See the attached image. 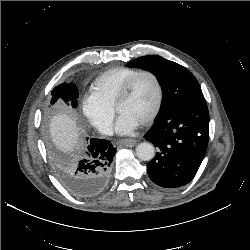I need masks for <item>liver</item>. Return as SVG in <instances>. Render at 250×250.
Masks as SVG:
<instances>
[{
    "label": "liver",
    "mask_w": 250,
    "mask_h": 250,
    "mask_svg": "<svg viewBox=\"0 0 250 250\" xmlns=\"http://www.w3.org/2000/svg\"><path fill=\"white\" fill-rule=\"evenodd\" d=\"M50 134L57 148L64 153L72 152L79 144L76 120L68 113H57L50 122Z\"/></svg>",
    "instance_id": "6515ba94"
}]
</instances>
